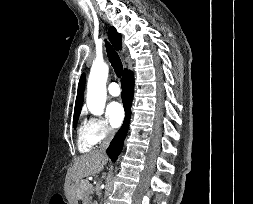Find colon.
<instances>
[{
    "mask_svg": "<svg viewBox=\"0 0 253 204\" xmlns=\"http://www.w3.org/2000/svg\"><path fill=\"white\" fill-rule=\"evenodd\" d=\"M50 204H64L60 199L53 197L50 201Z\"/></svg>",
    "mask_w": 253,
    "mask_h": 204,
    "instance_id": "5ec220e1",
    "label": "colon"
}]
</instances>
